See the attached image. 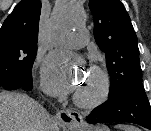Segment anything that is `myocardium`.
Instances as JSON below:
<instances>
[{"mask_svg":"<svg viewBox=\"0 0 151 131\" xmlns=\"http://www.w3.org/2000/svg\"><path fill=\"white\" fill-rule=\"evenodd\" d=\"M89 72L96 76L99 80V87L90 96H82L75 94L74 102L81 108L93 109L107 101L111 92V79L109 73L102 67L94 65L90 68Z\"/></svg>","mask_w":151,"mask_h":131,"instance_id":"obj_1","label":"myocardium"}]
</instances>
